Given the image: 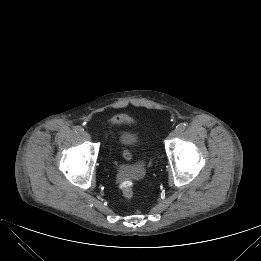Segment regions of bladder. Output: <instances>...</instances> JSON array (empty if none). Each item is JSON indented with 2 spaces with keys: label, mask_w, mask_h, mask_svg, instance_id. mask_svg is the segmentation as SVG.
<instances>
[{
  "label": "bladder",
  "mask_w": 261,
  "mask_h": 261,
  "mask_svg": "<svg viewBox=\"0 0 261 261\" xmlns=\"http://www.w3.org/2000/svg\"><path fill=\"white\" fill-rule=\"evenodd\" d=\"M126 120H127V117H124V116L123 117H118V118H115L114 120H112L111 124L112 125H117L121 121H126ZM121 156L123 157V159L129 161L132 158V153L128 149H122Z\"/></svg>",
  "instance_id": "31cf9c89"
}]
</instances>
